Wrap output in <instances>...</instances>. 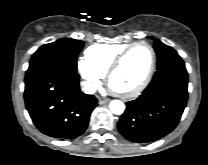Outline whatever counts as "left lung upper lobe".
<instances>
[{
  "label": "left lung upper lobe",
  "instance_id": "5c2ea615",
  "mask_svg": "<svg viewBox=\"0 0 208 165\" xmlns=\"http://www.w3.org/2000/svg\"><path fill=\"white\" fill-rule=\"evenodd\" d=\"M149 38L153 39V37H149ZM153 46H154V49H155V51L157 53V57H158L157 68H159L160 66H162V65H164L174 59L180 58L178 53L173 48L165 45L164 43H162L158 39L154 40Z\"/></svg>",
  "mask_w": 208,
  "mask_h": 165
}]
</instances>
